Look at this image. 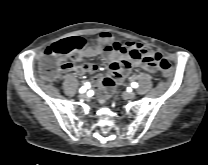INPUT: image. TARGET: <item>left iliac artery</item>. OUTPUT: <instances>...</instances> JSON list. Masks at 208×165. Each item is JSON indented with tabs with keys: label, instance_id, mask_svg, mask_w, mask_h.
<instances>
[{
	"label": "left iliac artery",
	"instance_id": "44dca946",
	"mask_svg": "<svg viewBox=\"0 0 208 165\" xmlns=\"http://www.w3.org/2000/svg\"><path fill=\"white\" fill-rule=\"evenodd\" d=\"M132 87H133V88H137V87H138V84H137L136 82H133V83H132Z\"/></svg>",
	"mask_w": 208,
	"mask_h": 165
}]
</instances>
